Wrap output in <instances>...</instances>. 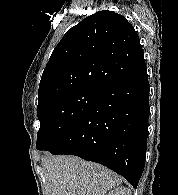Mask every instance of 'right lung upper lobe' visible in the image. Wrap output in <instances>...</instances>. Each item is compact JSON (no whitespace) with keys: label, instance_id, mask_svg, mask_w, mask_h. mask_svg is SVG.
Instances as JSON below:
<instances>
[{"label":"right lung upper lobe","instance_id":"obj_1","mask_svg":"<svg viewBox=\"0 0 178 195\" xmlns=\"http://www.w3.org/2000/svg\"><path fill=\"white\" fill-rule=\"evenodd\" d=\"M139 36L113 11H99L72 27L44 69L38 104L66 92L100 90L145 67Z\"/></svg>","mask_w":178,"mask_h":195}]
</instances>
